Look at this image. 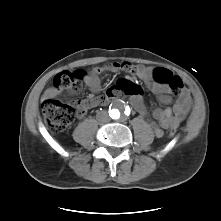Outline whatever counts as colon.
Returning <instances> with one entry per match:
<instances>
[{"label":"colon","instance_id":"1","mask_svg":"<svg viewBox=\"0 0 221 221\" xmlns=\"http://www.w3.org/2000/svg\"><path fill=\"white\" fill-rule=\"evenodd\" d=\"M155 80L169 87L174 93L179 94L183 90V83L178 76L164 69H156L152 72ZM84 73L79 71H62L53 78L52 89L57 93L64 90L76 92L78 83ZM128 95H143V89L134 84L129 83L123 88ZM42 111L46 119L49 129L53 132H62L68 128L72 122L75 110L71 104L61 102L56 99V95H45L42 99ZM177 128L171 127L170 135L175 136Z\"/></svg>","mask_w":221,"mask_h":221}]
</instances>
